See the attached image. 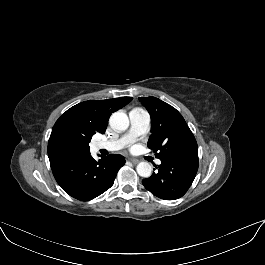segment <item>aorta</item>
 Returning a JSON list of instances; mask_svg holds the SVG:
<instances>
[{"mask_svg":"<svg viewBox=\"0 0 265 265\" xmlns=\"http://www.w3.org/2000/svg\"><path fill=\"white\" fill-rule=\"evenodd\" d=\"M110 125L114 130L125 131L129 127L128 116L121 111L114 112L109 119ZM137 173L144 178L152 174V166L148 162H140L136 167Z\"/></svg>","mask_w":265,"mask_h":265,"instance_id":"obj_1","label":"aorta"}]
</instances>
